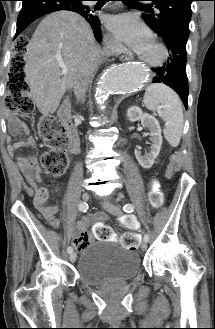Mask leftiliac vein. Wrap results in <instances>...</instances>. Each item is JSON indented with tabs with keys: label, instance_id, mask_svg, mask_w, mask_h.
Masks as SVG:
<instances>
[{
	"label": "left iliac vein",
	"instance_id": "4c4485c4",
	"mask_svg": "<svg viewBox=\"0 0 215 329\" xmlns=\"http://www.w3.org/2000/svg\"><path fill=\"white\" fill-rule=\"evenodd\" d=\"M102 207L109 213H111L112 215H115V216H121L122 215V210L121 208L116 205V204H113L111 202H108V201H104L102 202ZM147 248V242L146 241H143L141 243V249L142 250H146Z\"/></svg>",
	"mask_w": 215,
	"mask_h": 329
}]
</instances>
